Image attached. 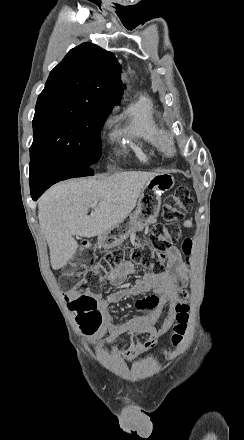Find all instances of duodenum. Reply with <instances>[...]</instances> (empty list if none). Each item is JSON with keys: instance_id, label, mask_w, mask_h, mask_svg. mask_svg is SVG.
<instances>
[{"instance_id": "1", "label": "duodenum", "mask_w": 244, "mask_h": 440, "mask_svg": "<svg viewBox=\"0 0 244 440\" xmlns=\"http://www.w3.org/2000/svg\"><path fill=\"white\" fill-rule=\"evenodd\" d=\"M100 240H101L102 242H108V239H107V238H104V237H101Z\"/></svg>"}]
</instances>
